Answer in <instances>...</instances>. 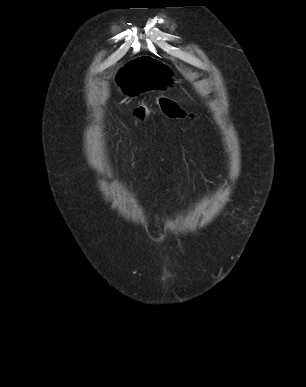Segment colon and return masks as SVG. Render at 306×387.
<instances>
[{
  "label": "colon",
  "instance_id": "obj_1",
  "mask_svg": "<svg viewBox=\"0 0 306 387\" xmlns=\"http://www.w3.org/2000/svg\"><path fill=\"white\" fill-rule=\"evenodd\" d=\"M159 105L162 111L169 117L172 118H186L189 114L182 110L175 102L166 99L160 98ZM149 112V106L147 104H142L134 110V115L139 121H143Z\"/></svg>",
  "mask_w": 306,
  "mask_h": 387
}]
</instances>
